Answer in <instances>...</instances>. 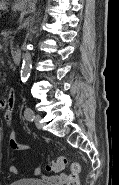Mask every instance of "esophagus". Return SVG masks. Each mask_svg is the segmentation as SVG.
Here are the masks:
<instances>
[{
  "mask_svg": "<svg viewBox=\"0 0 119 185\" xmlns=\"http://www.w3.org/2000/svg\"><path fill=\"white\" fill-rule=\"evenodd\" d=\"M23 1H25V0H19V2H18V3H19V4H20V3H23Z\"/></svg>",
  "mask_w": 119,
  "mask_h": 185,
  "instance_id": "obj_1",
  "label": "esophagus"
}]
</instances>
